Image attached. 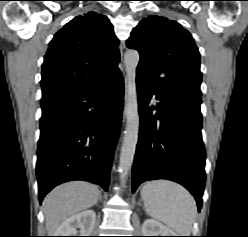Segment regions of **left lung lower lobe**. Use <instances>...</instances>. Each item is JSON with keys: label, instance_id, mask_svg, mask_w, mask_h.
Returning a JSON list of instances; mask_svg holds the SVG:
<instances>
[{"label": "left lung lower lobe", "instance_id": "0a47b994", "mask_svg": "<svg viewBox=\"0 0 248 237\" xmlns=\"http://www.w3.org/2000/svg\"><path fill=\"white\" fill-rule=\"evenodd\" d=\"M139 140L132 172V192L144 181H175L195 197L200 211L205 185V149L200 98L164 96L137 79ZM159 100L149 106L152 95ZM156 110L155 115L152 114Z\"/></svg>", "mask_w": 248, "mask_h": 237}]
</instances>
